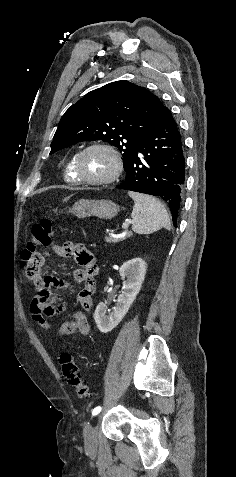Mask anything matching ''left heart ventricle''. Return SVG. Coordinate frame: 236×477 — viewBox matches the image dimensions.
Wrapping results in <instances>:
<instances>
[{"instance_id":"obj_1","label":"left heart ventricle","mask_w":236,"mask_h":477,"mask_svg":"<svg viewBox=\"0 0 236 477\" xmlns=\"http://www.w3.org/2000/svg\"><path fill=\"white\" fill-rule=\"evenodd\" d=\"M113 169L111 158L101 150H90L80 162L82 176L89 179H99L107 176Z\"/></svg>"}]
</instances>
